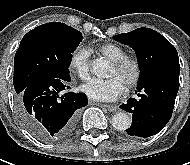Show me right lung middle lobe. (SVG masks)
<instances>
[{
    "label": "right lung middle lobe",
    "instance_id": "obj_1",
    "mask_svg": "<svg viewBox=\"0 0 190 165\" xmlns=\"http://www.w3.org/2000/svg\"><path fill=\"white\" fill-rule=\"evenodd\" d=\"M83 39L81 32L59 22L40 25L20 42L14 59L13 84L21 94L42 78H70L72 53Z\"/></svg>",
    "mask_w": 190,
    "mask_h": 165
}]
</instances>
